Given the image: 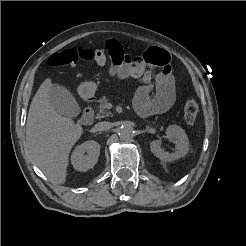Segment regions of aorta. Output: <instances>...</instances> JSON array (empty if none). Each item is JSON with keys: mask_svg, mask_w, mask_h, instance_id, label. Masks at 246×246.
Wrapping results in <instances>:
<instances>
[{"mask_svg": "<svg viewBox=\"0 0 246 246\" xmlns=\"http://www.w3.org/2000/svg\"><path fill=\"white\" fill-rule=\"evenodd\" d=\"M118 134L122 140H130L134 137V129L130 125H122L118 130Z\"/></svg>", "mask_w": 246, "mask_h": 246, "instance_id": "aorta-1", "label": "aorta"}]
</instances>
